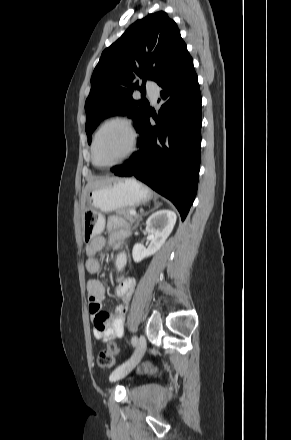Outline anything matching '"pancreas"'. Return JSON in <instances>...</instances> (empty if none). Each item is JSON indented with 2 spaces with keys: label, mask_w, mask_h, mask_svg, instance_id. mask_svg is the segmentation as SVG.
Wrapping results in <instances>:
<instances>
[{
  "label": "pancreas",
  "mask_w": 291,
  "mask_h": 440,
  "mask_svg": "<svg viewBox=\"0 0 291 440\" xmlns=\"http://www.w3.org/2000/svg\"><path fill=\"white\" fill-rule=\"evenodd\" d=\"M117 215H122L127 221L131 224L135 223L137 220L136 216L130 214V209L128 208H120L116 210Z\"/></svg>",
  "instance_id": "cf45deb5"
}]
</instances>
